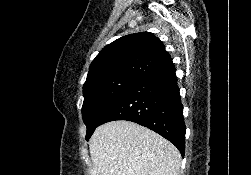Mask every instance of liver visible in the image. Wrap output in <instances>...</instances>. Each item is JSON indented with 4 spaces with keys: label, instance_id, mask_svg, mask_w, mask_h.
<instances>
[{
    "label": "liver",
    "instance_id": "liver-1",
    "mask_svg": "<svg viewBox=\"0 0 251 175\" xmlns=\"http://www.w3.org/2000/svg\"><path fill=\"white\" fill-rule=\"evenodd\" d=\"M91 175H179L181 153L155 131L133 121H108L89 141Z\"/></svg>",
    "mask_w": 251,
    "mask_h": 175
}]
</instances>
